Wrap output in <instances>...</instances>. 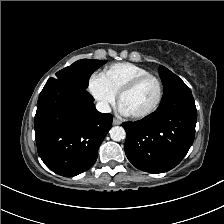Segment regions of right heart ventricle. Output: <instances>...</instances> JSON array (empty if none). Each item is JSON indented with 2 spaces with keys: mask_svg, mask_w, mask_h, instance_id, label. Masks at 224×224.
I'll use <instances>...</instances> for the list:
<instances>
[{
  "mask_svg": "<svg viewBox=\"0 0 224 224\" xmlns=\"http://www.w3.org/2000/svg\"><path fill=\"white\" fill-rule=\"evenodd\" d=\"M149 71L141 66L129 62H120L106 67L100 74L107 86L117 94L127 82Z\"/></svg>",
  "mask_w": 224,
  "mask_h": 224,
  "instance_id": "e07e8e85",
  "label": "right heart ventricle"
}]
</instances>
